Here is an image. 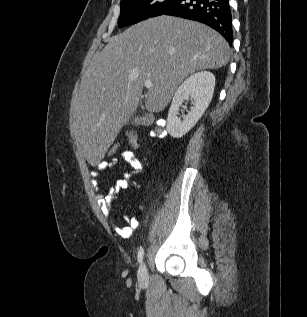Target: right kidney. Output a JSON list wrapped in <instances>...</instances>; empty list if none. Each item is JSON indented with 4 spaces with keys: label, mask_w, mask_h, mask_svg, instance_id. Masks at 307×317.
<instances>
[{
    "label": "right kidney",
    "mask_w": 307,
    "mask_h": 317,
    "mask_svg": "<svg viewBox=\"0 0 307 317\" xmlns=\"http://www.w3.org/2000/svg\"><path fill=\"white\" fill-rule=\"evenodd\" d=\"M215 87V76L201 71L188 77L177 89L168 111L166 129L173 138H181L198 122L208 108ZM191 99L192 107L181 120L177 115L184 100Z\"/></svg>",
    "instance_id": "right-kidney-1"
}]
</instances>
